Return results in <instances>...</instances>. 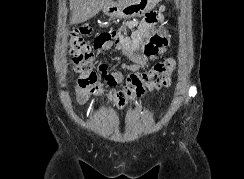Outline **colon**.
I'll return each instance as SVG.
<instances>
[{"instance_id":"obj_1","label":"colon","mask_w":244,"mask_h":179,"mask_svg":"<svg viewBox=\"0 0 244 179\" xmlns=\"http://www.w3.org/2000/svg\"><path fill=\"white\" fill-rule=\"evenodd\" d=\"M91 31L90 25H80L71 29L68 40V51L73 56L70 67L79 76L77 81L79 86L87 90L90 95L109 98L117 107L122 108L147 91L171 84V74L175 69V62L172 59H166L155 63L148 70L139 74L129 75L122 88L114 90L104 87L101 74L96 72L94 54L84 40V37L90 35Z\"/></svg>"}]
</instances>
